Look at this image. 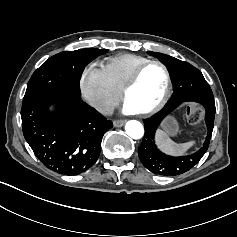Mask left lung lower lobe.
<instances>
[{
    "label": "left lung lower lobe",
    "instance_id": "0a47b994",
    "mask_svg": "<svg viewBox=\"0 0 237 237\" xmlns=\"http://www.w3.org/2000/svg\"><path fill=\"white\" fill-rule=\"evenodd\" d=\"M198 103H200L201 105H203L205 107V110H206V116H205L206 125H207V128H208L209 135H212V131H213V127H214V117H215V112H216L215 102H214V100H203V101L198 102ZM177 106H175L171 110H167V109L164 108L162 110V112L159 113V114L162 115L163 118H164L167 114H169ZM198 161H197V163H198Z\"/></svg>",
    "mask_w": 237,
    "mask_h": 237
}]
</instances>
